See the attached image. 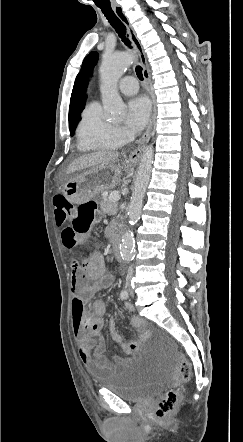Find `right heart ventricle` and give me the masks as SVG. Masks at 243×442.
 <instances>
[{"instance_id": "e07e8e85", "label": "right heart ventricle", "mask_w": 243, "mask_h": 442, "mask_svg": "<svg viewBox=\"0 0 243 442\" xmlns=\"http://www.w3.org/2000/svg\"><path fill=\"white\" fill-rule=\"evenodd\" d=\"M121 141L116 130L102 115L98 102L89 103L83 110L77 130L80 151L117 148Z\"/></svg>"}]
</instances>
